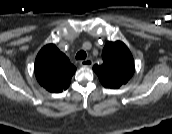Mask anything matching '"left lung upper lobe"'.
I'll list each match as a JSON object with an SVG mask.
<instances>
[{
    "label": "left lung upper lobe",
    "mask_w": 172,
    "mask_h": 134,
    "mask_svg": "<svg viewBox=\"0 0 172 134\" xmlns=\"http://www.w3.org/2000/svg\"><path fill=\"white\" fill-rule=\"evenodd\" d=\"M102 58L103 64L94 65L93 70L104 87L119 88L133 76L134 59L123 42L108 41L103 49Z\"/></svg>",
    "instance_id": "obj_1"
}]
</instances>
